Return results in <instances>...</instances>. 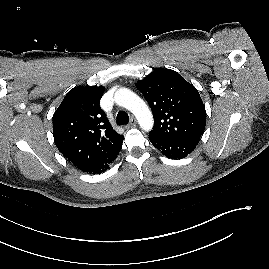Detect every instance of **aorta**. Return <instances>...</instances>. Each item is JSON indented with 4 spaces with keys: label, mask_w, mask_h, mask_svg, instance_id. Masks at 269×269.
Instances as JSON below:
<instances>
[{
    "label": "aorta",
    "mask_w": 269,
    "mask_h": 269,
    "mask_svg": "<svg viewBox=\"0 0 269 269\" xmlns=\"http://www.w3.org/2000/svg\"><path fill=\"white\" fill-rule=\"evenodd\" d=\"M115 102L135 115L144 131L153 127V116L147 104L134 92L122 88L115 93Z\"/></svg>",
    "instance_id": "aorta-1"
}]
</instances>
